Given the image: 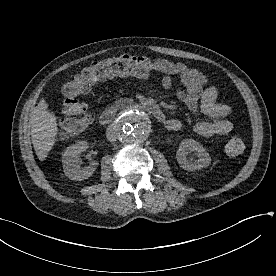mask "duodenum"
I'll return each instance as SVG.
<instances>
[{
  "mask_svg": "<svg viewBox=\"0 0 276 276\" xmlns=\"http://www.w3.org/2000/svg\"><path fill=\"white\" fill-rule=\"evenodd\" d=\"M130 107L133 109L143 110L160 122L165 123L166 121L165 114L157 106L137 103V104L131 105ZM119 111H120V108L118 107H115V106L109 107L100 114L99 121L104 125L111 124L116 119Z\"/></svg>",
  "mask_w": 276,
  "mask_h": 276,
  "instance_id": "1",
  "label": "duodenum"
}]
</instances>
